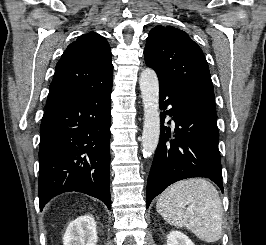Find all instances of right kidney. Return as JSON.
Here are the masks:
<instances>
[{
  "instance_id": "right-kidney-1",
  "label": "right kidney",
  "mask_w": 266,
  "mask_h": 245,
  "mask_svg": "<svg viewBox=\"0 0 266 245\" xmlns=\"http://www.w3.org/2000/svg\"><path fill=\"white\" fill-rule=\"evenodd\" d=\"M75 233V245H96L98 241L94 217L85 215L72 221Z\"/></svg>"
}]
</instances>
